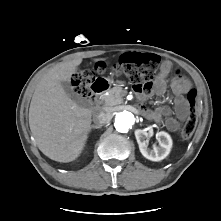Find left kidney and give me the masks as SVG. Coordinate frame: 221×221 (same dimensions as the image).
<instances>
[{
    "label": "left kidney",
    "mask_w": 221,
    "mask_h": 221,
    "mask_svg": "<svg viewBox=\"0 0 221 221\" xmlns=\"http://www.w3.org/2000/svg\"><path fill=\"white\" fill-rule=\"evenodd\" d=\"M149 134L141 129L135 131V137L139 145L141 154L151 161H160L168 156L172 148V139L167 132L161 131L156 134L159 139V146L153 147V149L148 148L146 138Z\"/></svg>",
    "instance_id": "left-kidney-1"
}]
</instances>
